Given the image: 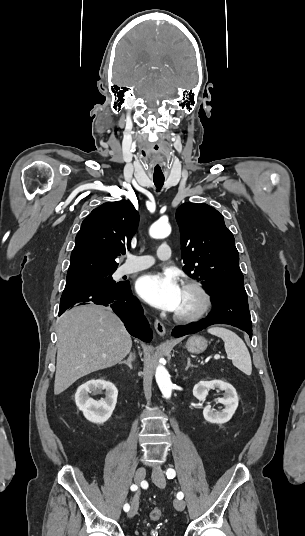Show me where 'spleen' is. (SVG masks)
Here are the masks:
<instances>
[{"mask_svg":"<svg viewBox=\"0 0 305 536\" xmlns=\"http://www.w3.org/2000/svg\"><path fill=\"white\" fill-rule=\"evenodd\" d=\"M208 332L209 334H213V336L222 338L225 352L228 358L232 360L233 366H236L238 370H241L247 376H251L252 362L243 340L237 334L231 332V330H226V328H209Z\"/></svg>","mask_w":305,"mask_h":536,"instance_id":"1","label":"spleen"}]
</instances>
